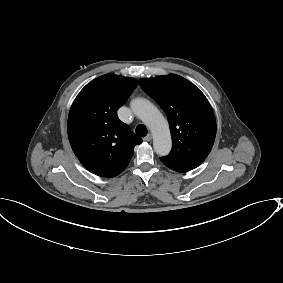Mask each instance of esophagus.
I'll list each match as a JSON object with an SVG mask.
<instances>
[{"label":"esophagus","instance_id":"1","mask_svg":"<svg viewBox=\"0 0 283 283\" xmlns=\"http://www.w3.org/2000/svg\"><path fill=\"white\" fill-rule=\"evenodd\" d=\"M152 140V134L149 133L146 137L143 138V141H150Z\"/></svg>","mask_w":283,"mask_h":283}]
</instances>
